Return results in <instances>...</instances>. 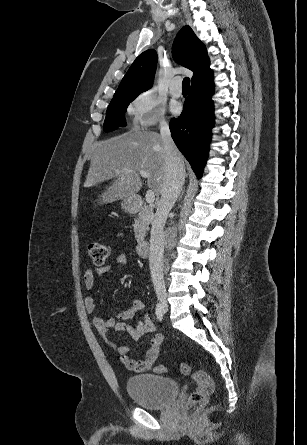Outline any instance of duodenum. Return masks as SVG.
<instances>
[{"mask_svg":"<svg viewBox=\"0 0 307 445\" xmlns=\"http://www.w3.org/2000/svg\"><path fill=\"white\" fill-rule=\"evenodd\" d=\"M142 203H143V200L140 196L132 197L129 201L130 211H132V212L137 211L141 207ZM149 248H150V244L148 241H141L137 245V253L140 256L145 257L149 253Z\"/></svg>","mask_w":307,"mask_h":445,"instance_id":"obj_1","label":"duodenum"}]
</instances>
